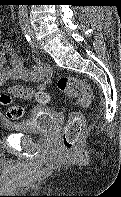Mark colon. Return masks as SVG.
Returning <instances> with one entry per match:
<instances>
[{
    "mask_svg": "<svg viewBox=\"0 0 121 197\" xmlns=\"http://www.w3.org/2000/svg\"><path fill=\"white\" fill-rule=\"evenodd\" d=\"M57 88L60 92L64 93L70 99L80 97V105L87 107L92 102V91L89 85L82 80L71 77L61 76L57 80ZM11 95L29 96L30 91L21 86H13L9 90V94L0 95V103L7 107L6 115L8 118L16 119L24 114V109L21 106L12 105ZM36 98L41 104H48L50 97L47 93L39 91L36 93ZM84 129V118L78 112H72L69 115L68 122L64 128L62 135L63 146L67 150L73 149Z\"/></svg>",
    "mask_w": 121,
    "mask_h": 197,
    "instance_id": "obj_1",
    "label": "colon"
}]
</instances>
